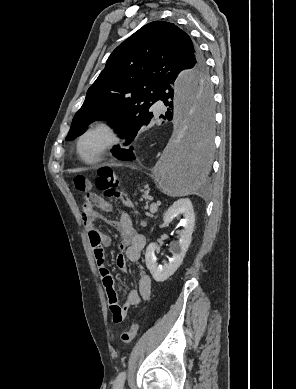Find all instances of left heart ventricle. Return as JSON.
<instances>
[{"instance_id":"b2bd125f","label":"left heart ventricle","mask_w":296,"mask_h":389,"mask_svg":"<svg viewBox=\"0 0 296 389\" xmlns=\"http://www.w3.org/2000/svg\"><path fill=\"white\" fill-rule=\"evenodd\" d=\"M101 141V138L98 136H91L87 138L83 143V152L88 156L93 155L101 144Z\"/></svg>"}]
</instances>
